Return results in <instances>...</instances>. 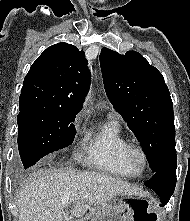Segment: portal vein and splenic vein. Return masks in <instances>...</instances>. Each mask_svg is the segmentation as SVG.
I'll return each mask as SVG.
<instances>
[{
    "label": "portal vein and splenic vein",
    "instance_id": "1",
    "mask_svg": "<svg viewBox=\"0 0 190 221\" xmlns=\"http://www.w3.org/2000/svg\"><path fill=\"white\" fill-rule=\"evenodd\" d=\"M91 193H86L83 197H82V199H87V198H90L91 197ZM77 204L79 203V201H77L76 202Z\"/></svg>",
    "mask_w": 190,
    "mask_h": 221
}]
</instances>
